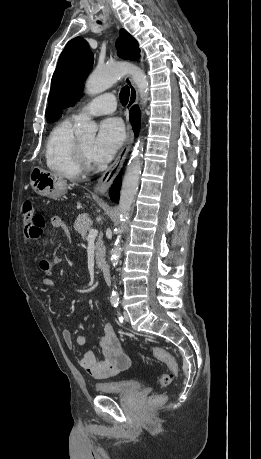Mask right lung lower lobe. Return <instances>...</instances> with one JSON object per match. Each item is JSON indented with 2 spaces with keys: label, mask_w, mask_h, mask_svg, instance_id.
<instances>
[{
  "label": "right lung lower lobe",
  "mask_w": 261,
  "mask_h": 459,
  "mask_svg": "<svg viewBox=\"0 0 261 459\" xmlns=\"http://www.w3.org/2000/svg\"><path fill=\"white\" fill-rule=\"evenodd\" d=\"M130 121L133 125V130L135 134H138L139 128H140V110L138 106H133L130 110ZM120 186H121V178L118 176L110 190V197L113 202L118 203L119 202V191H120Z\"/></svg>",
  "instance_id": "1"
}]
</instances>
